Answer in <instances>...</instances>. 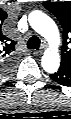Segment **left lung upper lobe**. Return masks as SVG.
<instances>
[{
    "instance_id": "obj_1",
    "label": "left lung upper lobe",
    "mask_w": 71,
    "mask_h": 119,
    "mask_svg": "<svg viewBox=\"0 0 71 119\" xmlns=\"http://www.w3.org/2000/svg\"><path fill=\"white\" fill-rule=\"evenodd\" d=\"M43 6L55 15L63 27L61 67L71 68V1H46Z\"/></svg>"
}]
</instances>
